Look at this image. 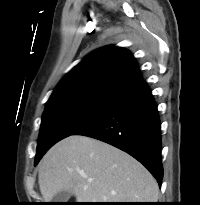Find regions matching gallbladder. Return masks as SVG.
I'll list each match as a JSON object with an SVG mask.
<instances>
[{
    "label": "gallbladder",
    "mask_w": 200,
    "mask_h": 205,
    "mask_svg": "<svg viewBox=\"0 0 200 205\" xmlns=\"http://www.w3.org/2000/svg\"><path fill=\"white\" fill-rule=\"evenodd\" d=\"M72 196L71 192L60 191L53 197V202H67L68 199Z\"/></svg>",
    "instance_id": "bac80fb5"
}]
</instances>
